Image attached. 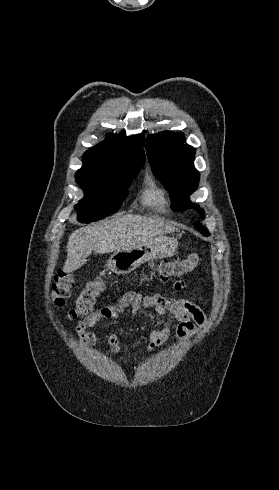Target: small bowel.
<instances>
[{"instance_id": "small-bowel-1", "label": "small bowel", "mask_w": 279, "mask_h": 490, "mask_svg": "<svg viewBox=\"0 0 279 490\" xmlns=\"http://www.w3.org/2000/svg\"><path fill=\"white\" fill-rule=\"evenodd\" d=\"M184 287V281L175 283V288L178 290ZM141 309H154L159 317L150 335V349L161 347L172 331L178 339L188 340L196 336L206 323L204 312L190 299L166 297L157 293L145 295L128 292L118 302L91 312L79 322L74 328L76 337L83 346L95 348L96 335L93 330L99 322L115 320L126 310L135 314ZM108 344L109 355L117 356L126 363L130 362L129 359L121 357L122 348L116 335L112 334L108 337Z\"/></svg>"}]
</instances>
